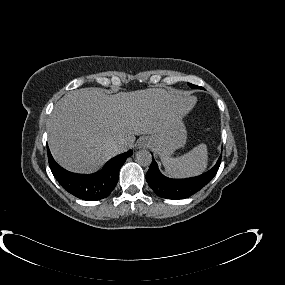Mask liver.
<instances>
[{"mask_svg":"<svg viewBox=\"0 0 285 285\" xmlns=\"http://www.w3.org/2000/svg\"><path fill=\"white\" fill-rule=\"evenodd\" d=\"M197 99L161 88L107 95L98 88L69 92L55 105L47 130L54 159L64 168L91 173L131 148L135 135L164 131ZM124 142L122 149L116 144Z\"/></svg>","mask_w":285,"mask_h":285,"instance_id":"liver-1","label":"liver"}]
</instances>
